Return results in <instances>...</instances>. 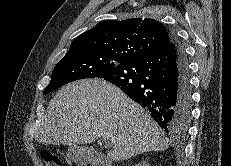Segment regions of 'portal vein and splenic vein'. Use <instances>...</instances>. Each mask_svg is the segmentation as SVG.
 <instances>
[{
    "instance_id": "portal-vein-and-splenic-vein-1",
    "label": "portal vein and splenic vein",
    "mask_w": 231,
    "mask_h": 166,
    "mask_svg": "<svg viewBox=\"0 0 231 166\" xmlns=\"http://www.w3.org/2000/svg\"><path fill=\"white\" fill-rule=\"evenodd\" d=\"M102 141H103V143H104V145H105L106 147H109V146L111 145L109 139L102 138Z\"/></svg>"
}]
</instances>
